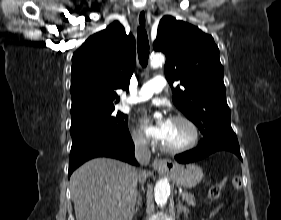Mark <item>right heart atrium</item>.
Wrapping results in <instances>:
<instances>
[{"instance_id":"d8ad5b80","label":"right heart atrium","mask_w":281,"mask_h":220,"mask_svg":"<svg viewBox=\"0 0 281 220\" xmlns=\"http://www.w3.org/2000/svg\"><path fill=\"white\" fill-rule=\"evenodd\" d=\"M134 145L139 149H148L151 146L150 140L143 134L139 128H134L131 132Z\"/></svg>"}]
</instances>
